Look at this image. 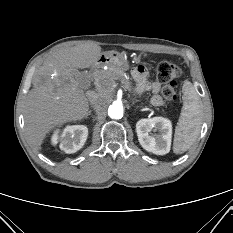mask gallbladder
<instances>
[{"mask_svg":"<svg viewBox=\"0 0 233 233\" xmlns=\"http://www.w3.org/2000/svg\"><path fill=\"white\" fill-rule=\"evenodd\" d=\"M77 78H78V81H79V73H77Z\"/></svg>","mask_w":233,"mask_h":233,"instance_id":"bac80fb5","label":"gallbladder"}]
</instances>
